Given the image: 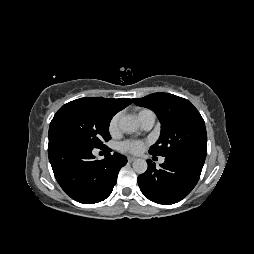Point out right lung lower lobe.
<instances>
[{
    "label": "right lung lower lobe",
    "mask_w": 254,
    "mask_h": 254,
    "mask_svg": "<svg viewBox=\"0 0 254 254\" xmlns=\"http://www.w3.org/2000/svg\"><path fill=\"white\" fill-rule=\"evenodd\" d=\"M94 148L77 140L50 137L48 156L55 178L64 192L83 204L105 200L117 182L119 170L127 163L125 156L108 147L105 158L96 160Z\"/></svg>",
    "instance_id": "1"
}]
</instances>
